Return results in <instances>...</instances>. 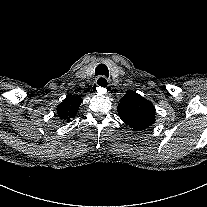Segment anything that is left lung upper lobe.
Listing matches in <instances>:
<instances>
[{
	"instance_id": "obj_1",
	"label": "left lung upper lobe",
	"mask_w": 207,
	"mask_h": 207,
	"mask_svg": "<svg viewBox=\"0 0 207 207\" xmlns=\"http://www.w3.org/2000/svg\"><path fill=\"white\" fill-rule=\"evenodd\" d=\"M117 110L121 120L134 131L145 130L155 122L153 104L135 91H128L120 99Z\"/></svg>"
}]
</instances>
